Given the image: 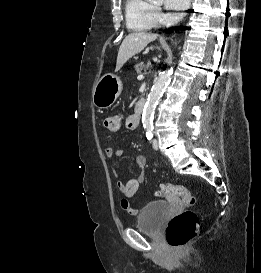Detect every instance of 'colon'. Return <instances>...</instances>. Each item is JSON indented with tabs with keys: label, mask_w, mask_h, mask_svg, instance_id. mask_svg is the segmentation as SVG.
<instances>
[{
	"label": "colon",
	"mask_w": 261,
	"mask_h": 273,
	"mask_svg": "<svg viewBox=\"0 0 261 273\" xmlns=\"http://www.w3.org/2000/svg\"><path fill=\"white\" fill-rule=\"evenodd\" d=\"M104 126L112 132L119 131L121 128L120 116L106 117ZM157 193L160 196L170 198L180 197L187 206H193L196 203L195 195L182 184L164 185ZM198 230L199 220L197 215L190 210H185L169 221L166 229V239L173 248L179 249L193 240L197 236Z\"/></svg>",
	"instance_id": "obj_1"
}]
</instances>
